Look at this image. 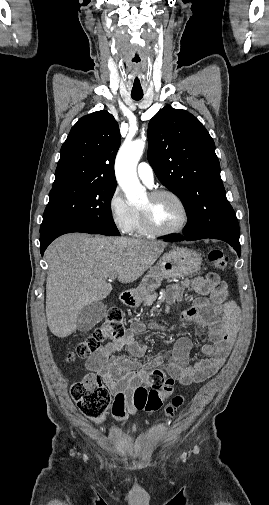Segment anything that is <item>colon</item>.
<instances>
[{"label": "colon", "instance_id": "obj_1", "mask_svg": "<svg viewBox=\"0 0 269 505\" xmlns=\"http://www.w3.org/2000/svg\"><path fill=\"white\" fill-rule=\"evenodd\" d=\"M210 266L216 270H224L228 259L220 249H213L208 254ZM125 333L122 311L115 306L109 308L104 322L85 341L77 345L74 351L67 355L68 361L76 357L85 358L99 350L101 344L109 339L120 338ZM174 390V379L167 376L161 369L150 370L143 383L138 386L133 395V402L138 410L153 412L162 406L164 398ZM71 395L82 413L92 421L101 423L110 402L102 381L95 375L86 376L71 387ZM182 396L173 397L166 408V414L172 415L183 404Z\"/></svg>", "mask_w": 269, "mask_h": 505}]
</instances>
